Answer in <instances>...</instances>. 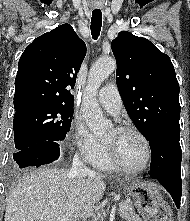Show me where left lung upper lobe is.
<instances>
[{
    "label": "left lung upper lobe",
    "instance_id": "1",
    "mask_svg": "<svg viewBox=\"0 0 190 221\" xmlns=\"http://www.w3.org/2000/svg\"><path fill=\"white\" fill-rule=\"evenodd\" d=\"M116 83L127 113L149 140L165 129L180 130L179 84L168 55L149 40L122 31L112 41Z\"/></svg>",
    "mask_w": 190,
    "mask_h": 221
}]
</instances>
